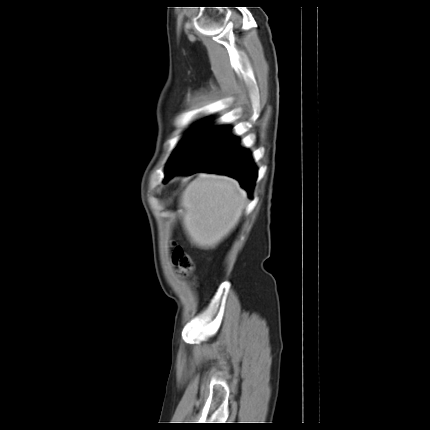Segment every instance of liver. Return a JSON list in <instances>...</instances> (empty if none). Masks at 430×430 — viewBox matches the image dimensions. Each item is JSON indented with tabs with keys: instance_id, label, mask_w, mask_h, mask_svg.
I'll list each match as a JSON object with an SVG mask.
<instances>
[{
	"instance_id": "obj_1",
	"label": "liver",
	"mask_w": 430,
	"mask_h": 430,
	"mask_svg": "<svg viewBox=\"0 0 430 430\" xmlns=\"http://www.w3.org/2000/svg\"><path fill=\"white\" fill-rule=\"evenodd\" d=\"M247 193L227 176L201 173L184 190L183 225L191 242L214 248L238 224Z\"/></svg>"
}]
</instances>
